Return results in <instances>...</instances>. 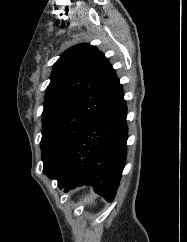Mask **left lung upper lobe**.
Wrapping results in <instances>:
<instances>
[{
    "label": "left lung upper lobe",
    "mask_w": 187,
    "mask_h": 242,
    "mask_svg": "<svg viewBox=\"0 0 187 242\" xmlns=\"http://www.w3.org/2000/svg\"><path fill=\"white\" fill-rule=\"evenodd\" d=\"M45 92L40 147L43 172H53L80 137L123 96L108 59L90 44L66 50Z\"/></svg>",
    "instance_id": "1"
}]
</instances>
